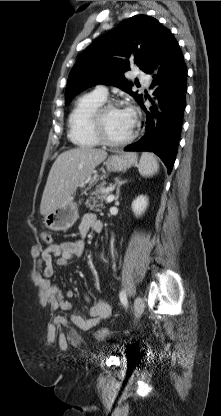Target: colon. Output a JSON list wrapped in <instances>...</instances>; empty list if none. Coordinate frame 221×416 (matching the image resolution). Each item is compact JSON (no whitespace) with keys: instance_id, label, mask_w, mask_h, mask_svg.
<instances>
[{"instance_id":"5ec220e1","label":"colon","mask_w":221,"mask_h":416,"mask_svg":"<svg viewBox=\"0 0 221 416\" xmlns=\"http://www.w3.org/2000/svg\"><path fill=\"white\" fill-rule=\"evenodd\" d=\"M41 237H42V241L47 245H50L53 241V238L50 232H47V231L43 232ZM95 337L98 340H105L111 337V332L108 329H99L95 333Z\"/></svg>"}]
</instances>
